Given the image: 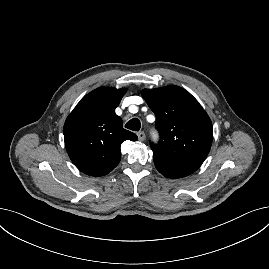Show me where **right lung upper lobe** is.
I'll return each mask as SVG.
<instances>
[{"instance_id": "right-lung-upper-lobe-1", "label": "right lung upper lobe", "mask_w": 269, "mask_h": 269, "mask_svg": "<svg viewBox=\"0 0 269 269\" xmlns=\"http://www.w3.org/2000/svg\"><path fill=\"white\" fill-rule=\"evenodd\" d=\"M126 89L98 88L77 104L64 124V140L68 155L83 173L103 176L120 162L123 141L138 137L122 127L116 115Z\"/></svg>"}]
</instances>
